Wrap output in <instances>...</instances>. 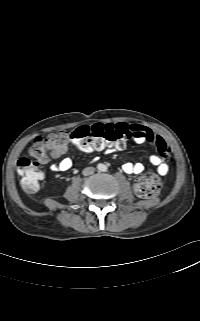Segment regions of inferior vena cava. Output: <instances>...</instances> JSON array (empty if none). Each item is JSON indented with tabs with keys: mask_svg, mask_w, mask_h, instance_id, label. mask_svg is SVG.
Here are the masks:
<instances>
[{
	"mask_svg": "<svg viewBox=\"0 0 200 321\" xmlns=\"http://www.w3.org/2000/svg\"><path fill=\"white\" fill-rule=\"evenodd\" d=\"M94 171H95V168H94V167H87V168H85V169L83 170L82 173H83L84 176H88V175L93 174Z\"/></svg>",
	"mask_w": 200,
	"mask_h": 321,
	"instance_id": "obj_1",
	"label": "inferior vena cava"
}]
</instances>
